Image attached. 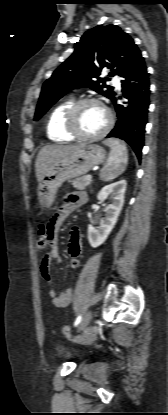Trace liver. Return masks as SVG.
I'll return each mask as SVG.
<instances>
[{"label": "liver", "mask_w": 168, "mask_h": 415, "mask_svg": "<svg viewBox=\"0 0 168 415\" xmlns=\"http://www.w3.org/2000/svg\"><path fill=\"white\" fill-rule=\"evenodd\" d=\"M80 145H48L43 147L37 156L35 162L36 177L40 182L43 176L47 173L50 166L60 159L70 155L76 151Z\"/></svg>", "instance_id": "liver-1"}]
</instances>
